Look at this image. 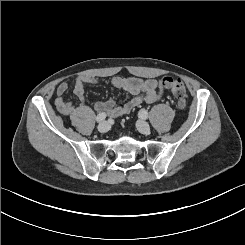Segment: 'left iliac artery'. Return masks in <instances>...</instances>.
Here are the masks:
<instances>
[{"label":"left iliac artery","mask_w":245,"mask_h":245,"mask_svg":"<svg viewBox=\"0 0 245 245\" xmlns=\"http://www.w3.org/2000/svg\"><path fill=\"white\" fill-rule=\"evenodd\" d=\"M139 115H140V117L146 119V118L148 117V112H147L145 109H141V110L139 111Z\"/></svg>","instance_id":"44dca946"}]
</instances>
